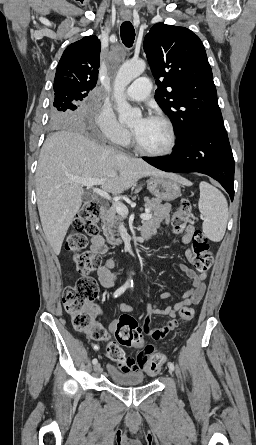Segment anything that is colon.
Segmentation results:
<instances>
[{
    "instance_id": "colon-1",
    "label": "colon",
    "mask_w": 256,
    "mask_h": 445,
    "mask_svg": "<svg viewBox=\"0 0 256 445\" xmlns=\"http://www.w3.org/2000/svg\"><path fill=\"white\" fill-rule=\"evenodd\" d=\"M100 210L101 207L97 202L91 201L84 204L64 244L66 251L75 253V264L81 276L73 285L65 288L62 301L76 331L86 333L94 341L105 342L108 340L107 332L93 320V301L98 295V285L96 280L89 276L92 270L101 266L102 260L98 255L83 251L87 245V236L98 232ZM195 221L190 203L182 200L179 209L172 215L170 223L175 233H182ZM191 249L193 266L199 273H207L213 264L214 255L201 231L197 230L193 233ZM181 314L184 319H191L194 316V309L185 307ZM115 336L116 341L108 345L107 352L110 359L117 363L123 362L126 358L124 346L143 348L145 344L143 327L130 315H122L117 320ZM164 363V355L156 353L147 362L145 371L149 375H155Z\"/></svg>"
}]
</instances>
